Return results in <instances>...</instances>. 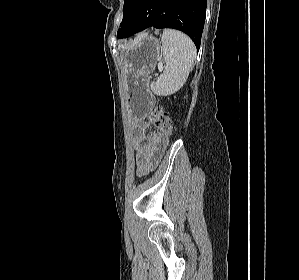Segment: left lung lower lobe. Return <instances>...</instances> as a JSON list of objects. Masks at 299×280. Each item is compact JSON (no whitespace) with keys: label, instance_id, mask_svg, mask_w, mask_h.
I'll use <instances>...</instances> for the list:
<instances>
[{"label":"left lung lower lobe","instance_id":"obj_1","mask_svg":"<svg viewBox=\"0 0 299 280\" xmlns=\"http://www.w3.org/2000/svg\"><path fill=\"white\" fill-rule=\"evenodd\" d=\"M206 15V0H135L127 25L118 38L148 27L173 28L186 33L200 47Z\"/></svg>","mask_w":299,"mask_h":280}]
</instances>
